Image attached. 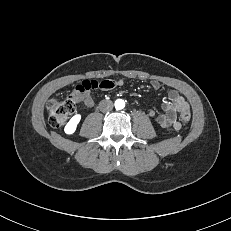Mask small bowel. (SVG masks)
Here are the masks:
<instances>
[{
    "instance_id": "small-bowel-1",
    "label": "small bowel",
    "mask_w": 231,
    "mask_h": 231,
    "mask_svg": "<svg viewBox=\"0 0 231 231\" xmlns=\"http://www.w3.org/2000/svg\"><path fill=\"white\" fill-rule=\"evenodd\" d=\"M123 80L114 81L106 79L102 81L97 80H85L78 84L73 90L71 96L77 101L82 103L85 107L90 108L93 106L94 101L90 95V89L100 88L104 90L112 89L116 85L122 86ZM151 87L155 90L160 88V83L156 80L151 81ZM170 103H164L162 105L164 113L156 117L157 123L163 128H172L179 130L181 123L176 119L177 113H182L184 110H189V104L176 90H171L168 94ZM150 117L156 115L154 110L148 112Z\"/></svg>"
}]
</instances>
